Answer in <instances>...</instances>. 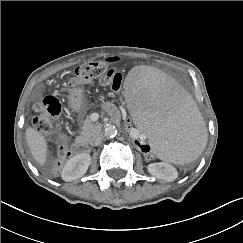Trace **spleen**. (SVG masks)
<instances>
[{"instance_id":"3e777b00","label":"spleen","mask_w":243,"mask_h":243,"mask_svg":"<svg viewBox=\"0 0 243 243\" xmlns=\"http://www.w3.org/2000/svg\"><path fill=\"white\" fill-rule=\"evenodd\" d=\"M123 90L136 124L162 160L183 164L204 150L205 123L192 91L181 80L144 66L128 74Z\"/></svg>"}]
</instances>
